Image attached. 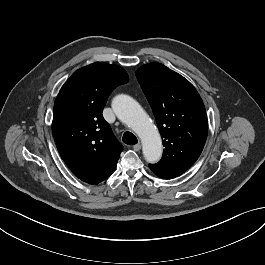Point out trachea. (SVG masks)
Returning <instances> with one entry per match:
<instances>
[{
  "label": "trachea",
  "mask_w": 265,
  "mask_h": 265,
  "mask_svg": "<svg viewBox=\"0 0 265 265\" xmlns=\"http://www.w3.org/2000/svg\"><path fill=\"white\" fill-rule=\"evenodd\" d=\"M122 140L127 145H135L138 142L136 136L129 131L123 134Z\"/></svg>",
  "instance_id": "1"
}]
</instances>
